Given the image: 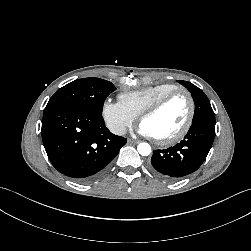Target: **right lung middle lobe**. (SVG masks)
Returning <instances> with one entry per match:
<instances>
[{"instance_id":"right-lung-middle-lobe-1","label":"right lung middle lobe","mask_w":251,"mask_h":251,"mask_svg":"<svg viewBox=\"0 0 251 251\" xmlns=\"http://www.w3.org/2000/svg\"><path fill=\"white\" fill-rule=\"evenodd\" d=\"M115 89L111 82L103 79L92 77L78 79L60 88L50 98L44 112L68 108L102 113L105 99Z\"/></svg>"}]
</instances>
